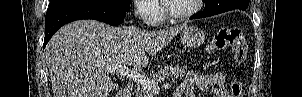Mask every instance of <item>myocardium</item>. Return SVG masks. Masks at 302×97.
Segmentation results:
<instances>
[{"mask_svg": "<svg viewBox=\"0 0 302 97\" xmlns=\"http://www.w3.org/2000/svg\"><path fill=\"white\" fill-rule=\"evenodd\" d=\"M202 3L203 0H195V5L190 10L183 13H174L170 7L169 0L163 1L166 16L171 21H181L192 17L193 15L197 14L201 10Z\"/></svg>", "mask_w": 302, "mask_h": 97, "instance_id": "1", "label": "myocardium"}]
</instances>
